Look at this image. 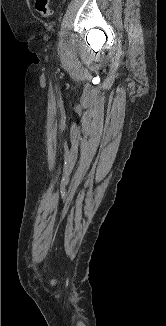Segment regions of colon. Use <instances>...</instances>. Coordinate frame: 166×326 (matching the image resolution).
<instances>
[{"instance_id":"obj_1","label":"colon","mask_w":166,"mask_h":326,"mask_svg":"<svg viewBox=\"0 0 166 326\" xmlns=\"http://www.w3.org/2000/svg\"><path fill=\"white\" fill-rule=\"evenodd\" d=\"M35 8L43 18H49L51 16L49 0H35Z\"/></svg>"}]
</instances>
